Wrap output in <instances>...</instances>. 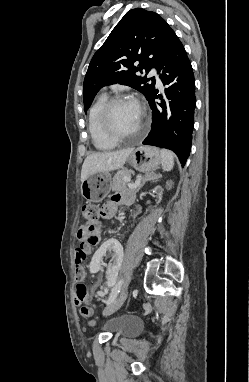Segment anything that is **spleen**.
<instances>
[{
  "instance_id": "1",
  "label": "spleen",
  "mask_w": 249,
  "mask_h": 382,
  "mask_svg": "<svg viewBox=\"0 0 249 382\" xmlns=\"http://www.w3.org/2000/svg\"><path fill=\"white\" fill-rule=\"evenodd\" d=\"M160 155L163 170L171 171L174 167V154L167 149H161Z\"/></svg>"
}]
</instances>
